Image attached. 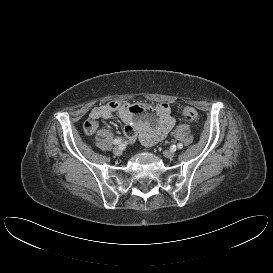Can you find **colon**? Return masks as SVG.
<instances>
[{"label": "colon", "mask_w": 273, "mask_h": 273, "mask_svg": "<svg viewBox=\"0 0 273 273\" xmlns=\"http://www.w3.org/2000/svg\"><path fill=\"white\" fill-rule=\"evenodd\" d=\"M182 115L185 117V119L193 122H196L199 119L198 111L190 106H185L182 108Z\"/></svg>", "instance_id": "colon-1"}]
</instances>
